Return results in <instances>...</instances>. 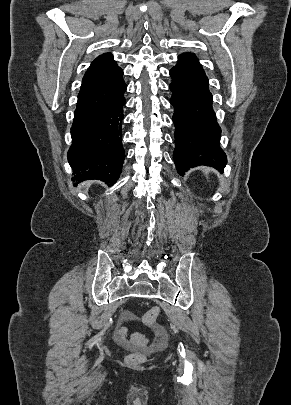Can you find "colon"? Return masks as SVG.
I'll return each instance as SVG.
<instances>
[{"label": "colon", "mask_w": 291, "mask_h": 405, "mask_svg": "<svg viewBox=\"0 0 291 405\" xmlns=\"http://www.w3.org/2000/svg\"><path fill=\"white\" fill-rule=\"evenodd\" d=\"M159 314H160L159 308L153 307L152 309H150L148 312H146L143 315L142 321L147 326H153L156 323ZM117 337L124 341L135 343V344H143L145 342L144 337L140 334L129 335L126 327H121L118 330ZM144 360H145V355L141 352H134V353L130 354L127 358L128 363L131 365H136V364L142 363Z\"/></svg>", "instance_id": "1"}]
</instances>
